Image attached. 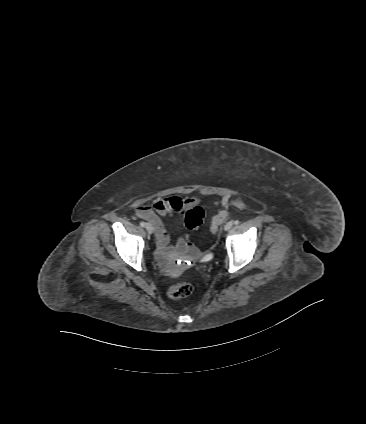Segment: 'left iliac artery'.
Instances as JSON below:
<instances>
[{"mask_svg": "<svg viewBox=\"0 0 366 424\" xmlns=\"http://www.w3.org/2000/svg\"><path fill=\"white\" fill-rule=\"evenodd\" d=\"M235 225H238L240 222L238 220L233 222Z\"/></svg>", "mask_w": 366, "mask_h": 424, "instance_id": "1", "label": "left iliac artery"}]
</instances>
